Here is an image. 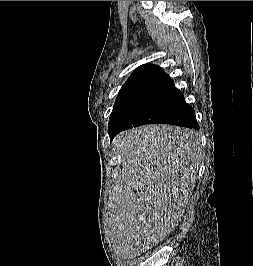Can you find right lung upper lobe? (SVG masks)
<instances>
[{"instance_id":"1","label":"right lung upper lobe","mask_w":253,"mask_h":266,"mask_svg":"<svg viewBox=\"0 0 253 266\" xmlns=\"http://www.w3.org/2000/svg\"><path fill=\"white\" fill-rule=\"evenodd\" d=\"M157 86H174V84L169 75L162 71L159 66L141 65L122 86L117 98Z\"/></svg>"}]
</instances>
